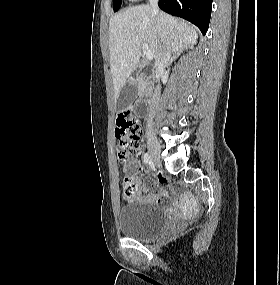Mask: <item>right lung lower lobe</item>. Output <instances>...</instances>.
<instances>
[{
	"label": "right lung lower lobe",
	"instance_id": "right-lung-lower-lobe-1",
	"mask_svg": "<svg viewBox=\"0 0 280 285\" xmlns=\"http://www.w3.org/2000/svg\"><path fill=\"white\" fill-rule=\"evenodd\" d=\"M159 7L195 24L205 35L211 16L212 0H159Z\"/></svg>",
	"mask_w": 280,
	"mask_h": 285
}]
</instances>
